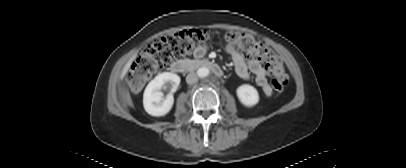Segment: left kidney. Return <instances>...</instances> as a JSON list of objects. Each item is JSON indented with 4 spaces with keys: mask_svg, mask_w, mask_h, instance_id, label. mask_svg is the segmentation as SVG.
I'll return each mask as SVG.
<instances>
[{
    "mask_svg": "<svg viewBox=\"0 0 406 168\" xmlns=\"http://www.w3.org/2000/svg\"><path fill=\"white\" fill-rule=\"evenodd\" d=\"M238 99L247 107L255 106L259 102L258 91L249 84H243L236 90Z\"/></svg>",
    "mask_w": 406,
    "mask_h": 168,
    "instance_id": "1",
    "label": "left kidney"
}]
</instances>
